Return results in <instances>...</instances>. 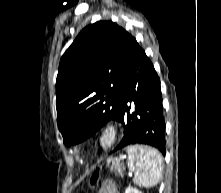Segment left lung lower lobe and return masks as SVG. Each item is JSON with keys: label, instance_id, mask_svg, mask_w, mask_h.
I'll return each instance as SVG.
<instances>
[{"label": "left lung lower lobe", "instance_id": "obj_1", "mask_svg": "<svg viewBox=\"0 0 221 193\" xmlns=\"http://www.w3.org/2000/svg\"><path fill=\"white\" fill-rule=\"evenodd\" d=\"M135 103L130 112L128 102ZM121 117L124 137L116 150L130 145L145 144L158 148L165 155V121L163 117L160 79L144 50L139 47L132 58L120 89ZM156 111L157 123L150 127L142 124L146 110Z\"/></svg>", "mask_w": 221, "mask_h": 193}]
</instances>
